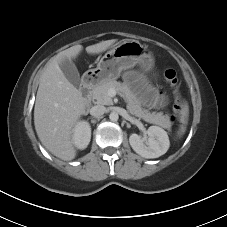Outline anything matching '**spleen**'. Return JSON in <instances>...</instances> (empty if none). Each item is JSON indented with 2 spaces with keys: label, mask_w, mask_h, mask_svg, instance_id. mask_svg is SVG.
<instances>
[{
  "label": "spleen",
  "mask_w": 227,
  "mask_h": 227,
  "mask_svg": "<svg viewBox=\"0 0 227 227\" xmlns=\"http://www.w3.org/2000/svg\"><path fill=\"white\" fill-rule=\"evenodd\" d=\"M188 105L187 103L184 104L182 108V123L185 125L187 123V117H188ZM185 132V126H182L181 129L178 131V135L182 136Z\"/></svg>",
  "instance_id": "3e777b00"
}]
</instances>
